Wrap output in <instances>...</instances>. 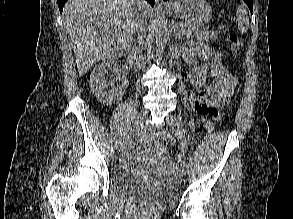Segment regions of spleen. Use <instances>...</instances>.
Listing matches in <instances>:
<instances>
[{"mask_svg": "<svg viewBox=\"0 0 293 219\" xmlns=\"http://www.w3.org/2000/svg\"><path fill=\"white\" fill-rule=\"evenodd\" d=\"M236 19L238 22L239 31L244 34L249 28V17L246 9L243 6H239L236 12Z\"/></svg>", "mask_w": 293, "mask_h": 219, "instance_id": "spleen-1", "label": "spleen"}]
</instances>
